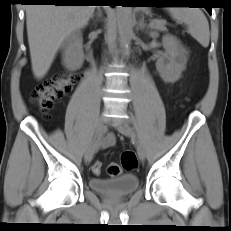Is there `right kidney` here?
I'll use <instances>...</instances> for the list:
<instances>
[{
	"mask_svg": "<svg viewBox=\"0 0 231 231\" xmlns=\"http://www.w3.org/2000/svg\"><path fill=\"white\" fill-rule=\"evenodd\" d=\"M84 62L83 38L81 34L74 35L63 51V63L70 71L78 70Z\"/></svg>",
	"mask_w": 231,
	"mask_h": 231,
	"instance_id": "1",
	"label": "right kidney"
}]
</instances>
